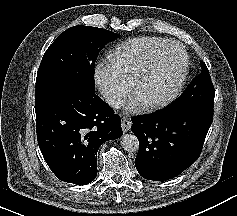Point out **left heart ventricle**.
<instances>
[{
  "instance_id": "left-heart-ventricle-1",
  "label": "left heart ventricle",
  "mask_w": 237,
  "mask_h": 216,
  "mask_svg": "<svg viewBox=\"0 0 237 216\" xmlns=\"http://www.w3.org/2000/svg\"><path fill=\"white\" fill-rule=\"evenodd\" d=\"M181 66V57L163 60L151 73L142 75L138 96L150 100H156L164 96L176 83Z\"/></svg>"
}]
</instances>
